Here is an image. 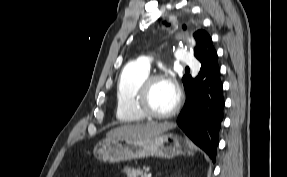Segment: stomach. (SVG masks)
<instances>
[{"instance_id":"1","label":"stomach","mask_w":287,"mask_h":177,"mask_svg":"<svg viewBox=\"0 0 287 177\" xmlns=\"http://www.w3.org/2000/svg\"><path fill=\"white\" fill-rule=\"evenodd\" d=\"M186 152L192 154L184 148L182 138L168 132L145 139L106 138L94 148L95 157L108 163L150 156L171 159Z\"/></svg>"}]
</instances>
